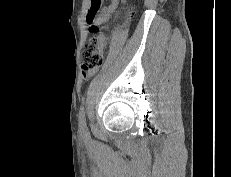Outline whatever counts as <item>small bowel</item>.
I'll return each instance as SVG.
<instances>
[{
    "instance_id": "obj_1",
    "label": "small bowel",
    "mask_w": 231,
    "mask_h": 177,
    "mask_svg": "<svg viewBox=\"0 0 231 177\" xmlns=\"http://www.w3.org/2000/svg\"><path fill=\"white\" fill-rule=\"evenodd\" d=\"M102 0H92V6L88 13V23L90 26H97L109 18V16L115 11L118 6V0H110V4L104 8H101ZM94 15V19L91 20L90 17L92 14ZM93 74V71L88 73H83L84 78H88Z\"/></svg>"
}]
</instances>
